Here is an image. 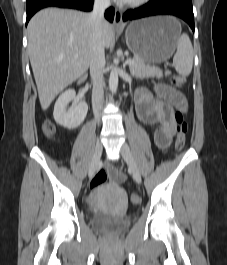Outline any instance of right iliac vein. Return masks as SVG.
Segmentation results:
<instances>
[{
    "label": "right iliac vein",
    "instance_id": "1",
    "mask_svg": "<svg viewBox=\"0 0 227 265\" xmlns=\"http://www.w3.org/2000/svg\"><path fill=\"white\" fill-rule=\"evenodd\" d=\"M101 155H102V145L98 140L96 143V146H95L94 155H93L91 166H90L89 172H88L89 177L93 176L94 173L96 172V170L99 166V163H100Z\"/></svg>",
    "mask_w": 227,
    "mask_h": 265
}]
</instances>
